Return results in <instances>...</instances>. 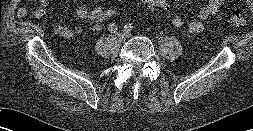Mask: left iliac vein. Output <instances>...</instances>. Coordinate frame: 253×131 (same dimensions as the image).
<instances>
[{
    "mask_svg": "<svg viewBox=\"0 0 253 131\" xmlns=\"http://www.w3.org/2000/svg\"><path fill=\"white\" fill-rule=\"evenodd\" d=\"M126 37H130L131 36V32H125Z\"/></svg>",
    "mask_w": 253,
    "mask_h": 131,
    "instance_id": "obj_1",
    "label": "left iliac vein"
}]
</instances>
